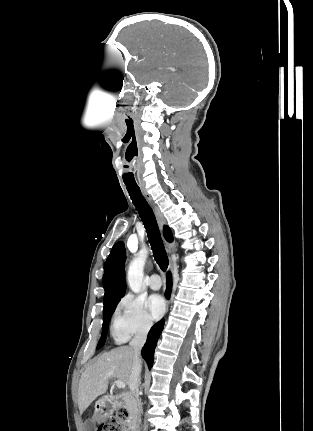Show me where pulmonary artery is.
<instances>
[{
  "mask_svg": "<svg viewBox=\"0 0 313 431\" xmlns=\"http://www.w3.org/2000/svg\"><path fill=\"white\" fill-rule=\"evenodd\" d=\"M162 285L161 278L158 274H152L149 278V287L153 290L160 289Z\"/></svg>",
  "mask_w": 313,
  "mask_h": 431,
  "instance_id": "obj_1",
  "label": "pulmonary artery"
}]
</instances>
